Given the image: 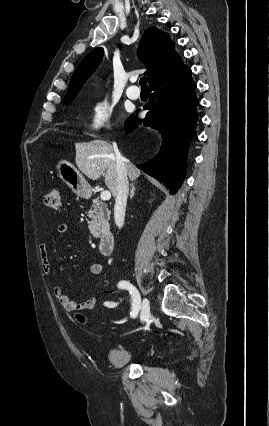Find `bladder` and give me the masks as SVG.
Wrapping results in <instances>:
<instances>
[{
  "instance_id": "1",
  "label": "bladder",
  "mask_w": 269,
  "mask_h": 426,
  "mask_svg": "<svg viewBox=\"0 0 269 426\" xmlns=\"http://www.w3.org/2000/svg\"><path fill=\"white\" fill-rule=\"evenodd\" d=\"M136 357V354L124 347H111L105 355L108 365L114 368L123 367L132 362Z\"/></svg>"
}]
</instances>
